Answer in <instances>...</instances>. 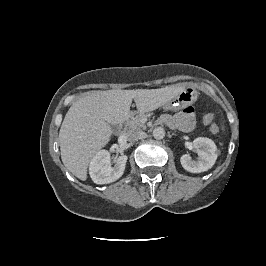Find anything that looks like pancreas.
<instances>
[{
  "mask_svg": "<svg viewBox=\"0 0 266 266\" xmlns=\"http://www.w3.org/2000/svg\"><path fill=\"white\" fill-rule=\"evenodd\" d=\"M147 116L144 115V114H138L136 115L135 117H132L129 121V125H130V128L131 129H139V128H143L145 129L146 126L144 124V119L146 118Z\"/></svg>",
  "mask_w": 266,
  "mask_h": 266,
  "instance_id": "1",
  "label": "pancreas"
}]
</instances>
